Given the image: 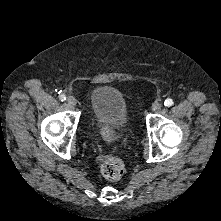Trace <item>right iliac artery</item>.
Here are the masks:
<instances>
[{"instance_id": "1", "label": "right iliac artery", "mask_w": 221, "mask_h": 221, "mask_svg": "<svg viewBox=\"0 0 221 221\" xmlns=\"http://www.w3.org/2000/svg\"><path fill=\"white\" fill-rule=\"evenodd\" d=\"M59 99H60L61 101H65V100H66L65 94L59 92Z\"/></svg>"}]
</instances>
